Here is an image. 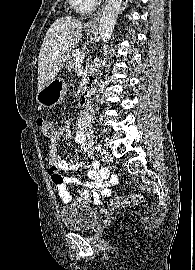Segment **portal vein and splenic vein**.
Wrapping results in <instances>:
<instances>
[{
	"instance_id": "18ae733b",
	"label": "portal vein and splenic vein",
	"mask_w": 195,
	"mask_h": 270,
	"mask_svg": "<svg viewBox=\"0 0 195 270\" xmlns=\"http://www.w3.org/2000/svg\"><path fill=\"white\" fill-rule=\"evenodd\" d=\"M84 58H85V53H78L77 55H76V60L79 62V61H82V60H84Z\"/></svg>"
}]
</instances>
